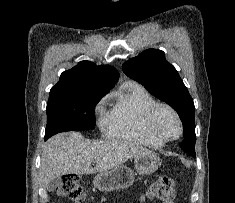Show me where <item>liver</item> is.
Segmentation results:
<instances>
[{"label": "liver", "mask_w": 235, "mask_h": 203, "mask_svg": "<svg viewBox=\"0 0 235 203\" xmlns=\"http://www.w3.org/2000/svg\"><path fill=\"white\" fill-rule=\"evenodd\" d=\"M146 148L124 140H88L79 132L51 137L44 145L40 175L45 187L66 174H93L121 166ZM96 163V167H91Z\"/></svg>", "instance_id": "liver-1"}]
</instances>
